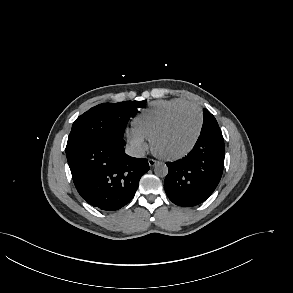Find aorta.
Instances as JSON below:
<instances>
[{"label":"aorta","instance_id":"obj_1","mask_svg":"<svg viewBox=\"0 0 293 293\" xmlns=\"http://www.w3.org/2000/svg\"><path fill=\"white\" fill-rule=\"evenodd\" d=\"M154 172L159 177H165L168 174V167L164 163H157Z\"/></svg>","mask_w":293,"mask_h":293}]
</instances>
